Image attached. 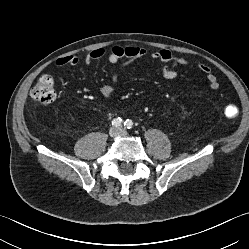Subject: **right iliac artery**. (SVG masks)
<instances>
[{"instance_id":"right-iliac-artery-1","label":"right iliac artery","mask_w":249,"mask_h":249,"mask_svg":"<svg viewBox=\"0 0 249 249\" xmlns=\"http://www.w3.org/2000/svg\"><path fill=\"white\" fill-rule=\"evenodd\" d=\"M112 125L114 127H120V126L123 125V120L120 117L115 118V119L112 120Z\"/></svg>"}]
</instances>
